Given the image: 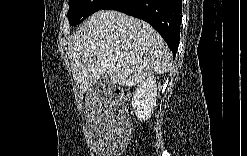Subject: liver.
Returning a JSON list of instances; mask_svg holds the SVG:
<instances>
[{"label":"liver","mask_w":247,"mask_h":156,"mask_svg":"<svg viewBox=\"0 0 247 156\" xmlns=\"http://www.w3.org/2000/svg\"><path fill=\"white\" fill-rule=\"evenodd\" d=\"M68 55L81 93L105 75L115 85H136L166 73L172 61L157 31L114 10H101L86 19L69 38Z\"/></svg>","instance_id":"obj_1"}]
</instances>
